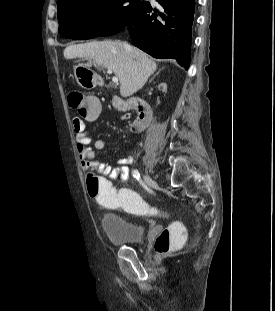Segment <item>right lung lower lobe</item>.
I'll list each match as a JSON object with an SVG mask.
<instances>
[{"instance_id": "1", "label": "right lung lower lobe", "mask_w": 275, "mask_h": 311, "mask_svg": "<svg viewBox=\"0 0 275 311\" xmlns=\"http://www.w3.org/2000/svg\"><path fill=\"white\" fill-rule=\"evenodd\" d=\"M164 9L159 13L151 4L133 15L126 29L133 44L155 58L175 59L186 70L190 65L191 32L195 0H156ZM88 32L79 39L94 38Z\"/></svg>"}]
</instances>
